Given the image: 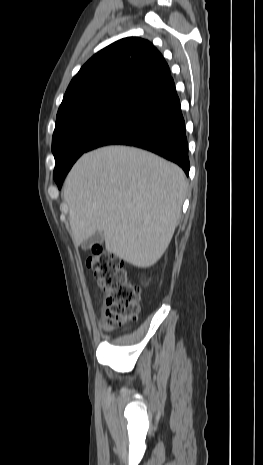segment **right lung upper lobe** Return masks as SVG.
Instances as JSON below:
<instances>
[{
    "label": "right lung upper lobe",
    "mask_w": 263,
    "mask_h": 465,
    "mask_svg": "<svg viewBox=\"0 0 263 465\" xmlns=\"http://www.w3.org/2000/svg\"><path fill=\"white\" fill-rule=\"evenodd\" d=\"M171 77L161 53L147 40L128 37L89 59L69 84L57 115L92 99L137 98Z\"/></svg>",
    "instance_id": "1"
}]
</instances>
